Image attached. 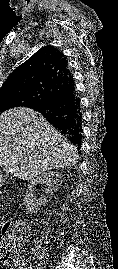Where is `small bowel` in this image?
<instances>
[{"label":"small bowel","mask_w":118,"mask_h":269,"mask_svg":"<svg viewBox=\"0 0 118 269\" xmlns=\"http://www.w3.org/2000/svg\"><path fill=\"white\" fill-rule=\"evenodd\" d=\"M12 269H23V267L20 264H16Z\"/></svg>","instance_id":"1"}]
</instances>
